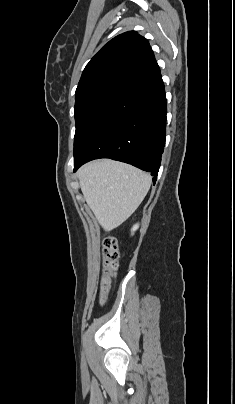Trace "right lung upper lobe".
I'll list each match as a JSON object with an SVG mask.
<instances>
[{
    "label": "right lung upper lobe",
    "instance_id": "cb5924a9",
    "mask_svg": "<svg viewBox=\"0 0 235 404\" xmlns=\"http://www.w3.org/2000/svg\"><path fill=\"white\" fill-rule=\"evenodd\" d=\"M158 68L148 41L136 31L110 40L86 65L76 92L99 83L133 80Z\"/></svg>",
    "mask_w": 235,
    "mask_h": 404
}]
</instances>
